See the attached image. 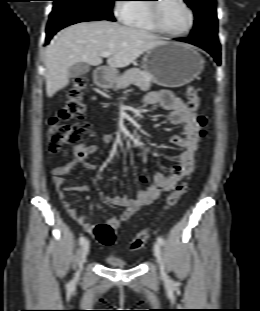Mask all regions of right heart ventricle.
Returning a JSON list of instances; mask_svg holds the SVG:
<instances>
[{"label": "right heart ventricle", "instance_id": "right-heart-ventricle-1", "mask_svg": "<svg viewBox=\"0 0 260 311\" xmlns=\"http://www.w3.org/2000/svg\"><path fill=\"white\" fill-rule=\"evenodd\" d=\"M145 1V0H138ZM148 4L138 3L129 5L130 11L128 12L125 23L131 27L150 31L157 32L155 27L152 25L149 14H148Z\"/></svg>", "mask_w": 260, "mask_h": 311}]
</instances>
